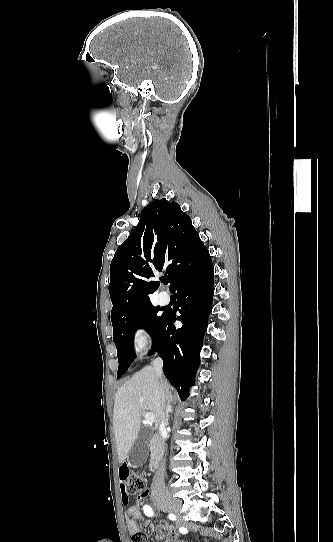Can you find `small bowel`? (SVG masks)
Wrapping results in <instances>:
<instances>
[{
    "label": "small bowel",
    "instance_id": "1",
    "mask_svg": "<svg viewBox=\"0 0 333 542\" xmlns=\"http://www.w3.org/2000/svg\"><path fill=\"white\" fill-rule=\"evenodd\" d=\"M128 468L126 464H122L119 468V480L121 482V501L124 505L128 504V494L125 488V480L128 479ZM150 496V490H145L142 495L137 497L136 504L130 506L126 512V521L132 528L138 526L136 520H142L145 525H148V521L145 520V511L141 508L144 505V500ZM162 531L167 532V538L164 542H173L180 534L185 533V529L180 526H171L168 522H162L159 525V531H157L156 537H159Z\"/></svg>",
    "mask_w": 333,
    "mask_h": 542
}]
</instances>
